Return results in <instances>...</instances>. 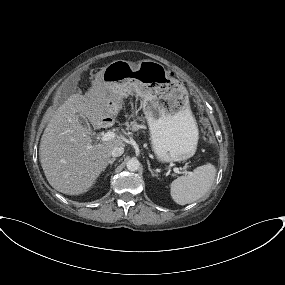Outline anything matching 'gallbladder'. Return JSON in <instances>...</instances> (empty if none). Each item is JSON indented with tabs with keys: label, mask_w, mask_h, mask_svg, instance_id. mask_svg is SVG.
<instances>
[{
	"label": "gallbladder",
	"mask_w": 285,
	"mask_h": 285,
	"mask_svg": "<svg viewBox=\"0 0 285 285\" xmlns=\"http://www.w3.org/2000/svg\"><path fill=\"white\" fill-rule=\"evenodd\" d=\"M77 118L83 126L89 127L87 120L81 114H78Z\"/></svg>",
	"instance_id": "1"
}]
</instances>
